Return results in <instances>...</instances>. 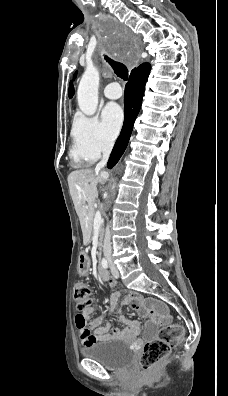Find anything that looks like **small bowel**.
I'll list each match as a JSON object with an SVG mask.
<instances>
[{"label": "small bowel", "mask_w": 228, "mask_h": 396, "mask_svg": "<svg viewBox=\"0 0 228 396\" xmlns=\"http://www.w3.org/2000/svg\"><path fill=\"white\" fill-rule=\"evenodd\" d=\"M89 265L87 255L82 254L79 259L80 272L82 274H87L89 271ZM107 283L111 287L117 286V281L110 277L108 278ZM121 297H123L122 306H130L145 319L146 325L144 335L146 337L151 336L159 326L169 321V316L165 313V307L160 302L137 294L125 295L122 289H118L110 297L108 312L90 320L87 326L79 329V338L82 344L89 345L94 342L124 337H135L140 334L141 328L138 322L126 319L123 314L120 315V320L125 324V326L122 329L115 328L112 332H109L110 325L106 319L107 315L108 313L113 312ZM92 313L93 308L91 307L85 310L87 318H89Z\"/></svg>", "instance_id": "1"}]
</instances>
